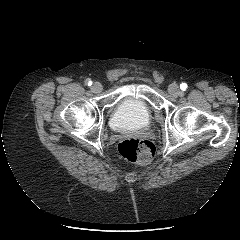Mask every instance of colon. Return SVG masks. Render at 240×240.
Instances as JSON below:
<instances>
[{"label": "colon", "instance_id": "5ec220e1", "mask_svg": "<svg viewBox=\"0 0 240 240\" xmlns=\"http://www.w3.org/2000/svg\"><path fill=\"white\" fill-rule=\"evenodd\" d=\"M118 152L129 162L144 165L155 155L154 144L141 138H124L118 143Z\"/></svg>", "mask_w": 240, "mask_h": 240}]
</instances>
